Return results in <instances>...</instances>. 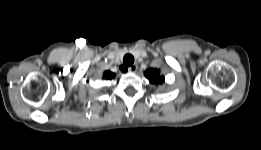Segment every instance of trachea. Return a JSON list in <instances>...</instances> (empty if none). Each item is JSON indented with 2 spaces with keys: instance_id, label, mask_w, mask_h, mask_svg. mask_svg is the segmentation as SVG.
<instances>
[{
  "instance_id": "obj_1",
  "label": "trachea",
  "mask_w": 261,
  "mask_h": 150,
  "mask_svg": "<svg viewBox=\"0 0 261 150\" xmlns=\"http://www.w3.org/2000/svg\"><path fill=\"white\" fill-rule=\"evenodd\" d=\"M123 63L125 66H122L121 70L125 71V70H127L128 66H131L134 63V57L130 54L125 55L123 58Z\"/></svg>"
}]
</instances>
